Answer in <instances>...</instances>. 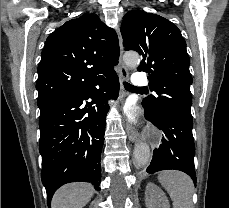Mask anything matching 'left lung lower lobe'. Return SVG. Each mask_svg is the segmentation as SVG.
<instances>
[{"instance_id":"obj_1","label":"left lung lower lobe","mask_w":229,"mask_h":208,"mask_svg":"<svg viewBox=\"0 0 229 208\" xmlns=\"http://www.w3.org/2000/svg\"><path fill=\"white\" fill-rule=\"evenodd\" d=\"M145 117L159 129L167 139L153 153V159L147 168L148 173L174 169L188 174L196 183L194 166L195 144L192 135L193 121L170 112L152 111L144 108Z\"/></svg>"}]
</instances>
